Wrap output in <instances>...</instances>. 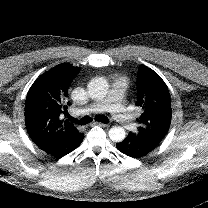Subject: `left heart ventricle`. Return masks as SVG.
Instances as JSON below:
<instances>
[{"instance_id": "left-heart-ventricle-1", "label": "left heart ventricle", "mask_w": 208, "mask_h": 208, "mask_svg": "<svg viewBox=\"0 0 208 208\" xmlns=\"http://www.w3.org/2000/svg\"><path fill=\"white\" fill-rule=\"evenodd\" d=\"M109 96V92H106L102 97H101V100H106Z\"/></svg>"}]
</instances>
